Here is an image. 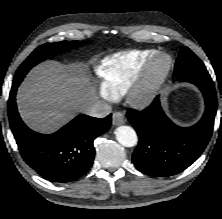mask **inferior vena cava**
<instances>
[{
	"mask_svg": "<svg viewBox=\"0 0 222 219\" xmlns=\"http://www.w3.org/2000/svg\"><path fill=\"white\" fill-rule=\"evenodd\" d=\"M87 115L104 118L112 112V107L105 102H97L89 106L84 111Z\"/></svg>",
	"mask_w": 222,
	"mask_h": 219,
	"instance_id": "602c4592",
	"label": "inferior vena cava"
}]
</instances>
